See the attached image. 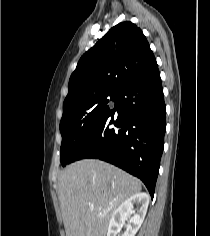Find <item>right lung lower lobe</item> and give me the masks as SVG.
Segmentation results:
<instances>
[{"instance_id": "1", "label": "right lung lower lobe", "mask_w": 210, "mask_h": 236, "mask_svg": "<svg viewBox=\"0 0 210 236\" xmlns=\"http://www.w3.org/2000/svg\"><path fill=\"white\" fill-rule=\"evenodd\" d=\"M114 102L115 108L92 130L69 163L96 158L114 164L140 178L153 197L166 130L158 66L126 83Z\"/></svg>"}]
</instances>
